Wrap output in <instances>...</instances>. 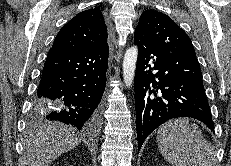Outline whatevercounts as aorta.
I'll use <instances>...</instances> for the list:
<instances>
[{
  "label": "aorta",
  "mask_w": 231,
  "mask_h": 166,
  "mask_svg": "<svg viewBox=\"0 0 231 166\" xmlns=\"http://www.w3.org/2000/svg\"><path fill=\"white\" fill-rule=\"evenodd\" d=\"M138 57V48L132 46L126 50L123 60V79L125 85L130 88L134 82L136 62Z\"/></svg>",
  "instance_id": "1"
}]
</instances>
